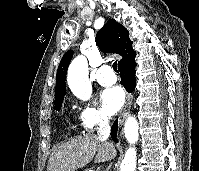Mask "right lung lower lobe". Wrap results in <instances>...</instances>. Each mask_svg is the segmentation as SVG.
Listing matches in <instances>:
<instances>
[{
    "mask_svg": "<svg viewBox=\"0 0 199 171\" xmlns=\"http://www.w3.org/2000/svg\"><path fill=\"white\" fill-rule=\"evenodd\" d=\"M135 59V58H134ZM131 59L118 65L120 75H121V84L126 88L128 92H132L135 89L136 78H135V60ZM117 120L114 122L111 129V138L118 142L117 137Z\"/></svg>",
    "mask_w": 199,
    "mask_h": 171,
    "instance_id": "right-lung-lower-lobe-1",
    "label": "right lung lower lobe"
}]
</instances>
